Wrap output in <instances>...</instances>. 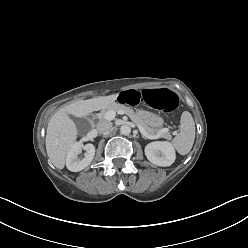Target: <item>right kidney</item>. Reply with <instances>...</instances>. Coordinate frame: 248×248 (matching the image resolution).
I'll return each instance as SVG.
<instances>
[{
    "mask_svg": "<svg viewBox=\"0 0 248 248\" xmlns=\"http://www.w3.org/2000/svg\"><path fill=\"white\" fill-rule=\"evenodd\" d=\"M86 151L84 158L79 159L78 155L81 153V150ZM95 156V146L91 143L81 146L80 143H75L67 153L66 157V166L68 170L72 172H79L86 168L93 160Z\"/></svg>",
    "mask_w": 248,
    "mask_h": 248,
    "instance_id": "obj_1",
    "label": "right kidney"
}]
</instances>
